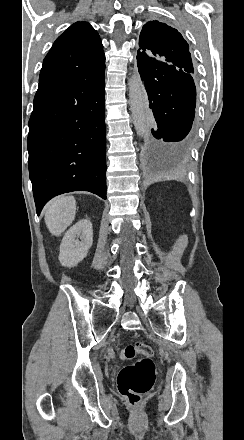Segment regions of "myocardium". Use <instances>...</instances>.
<instances>
[{
  "instance_id": "myocardium-1",
  "label": "myocardium",
  "mask_w": 244,
  "mask_h": 440,
  "mask_svg": "<svg viewBox=\"0 0 244 440\" xmlns=\"http://www.w3.org/2000/svg\"><path fill=\"white\" fill-rule=\"evenodd\" d=\"M106 183H107V185H108V183H109V179H108V177H107V179H106Z\"/></svg>"
}]
</instances>
